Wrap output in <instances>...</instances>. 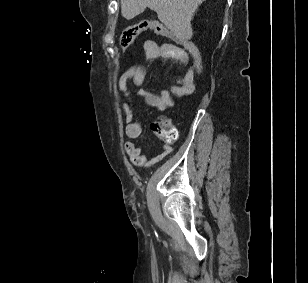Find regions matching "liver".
Returning <instances> with one entry per match:
<instances>
[{"label": "liver", "instance_id": "6515ba94", "mask_svg": "<svg viewBox=\"0 0 308 283\" xmlns=\"http://www.w3.org/2000/svg\"><path fill=\"white\" fill-rule=\"evenodd\" d=\"M205 0H121V14L133 19L147 7L155 11L158 19L180 40L193 36L191 20L198 6Z\"/></svg>", "mask_w": 308, "mask_h": 283}]
</instances>
